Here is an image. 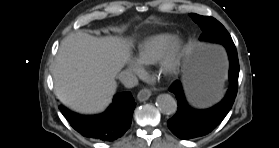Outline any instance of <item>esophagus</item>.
Here are the masks:
<instances>
[{
    "mask_svg": "<svg viewBox=\"0 0 279 148\" xmlns=\"http://www.w3.org/2000/svg\"><path fill=\"white\" fill-rule=\"evenodd\" d=\"M151 96V90L148 88H143L142 90L139 91V93L137 94V99L140 102L146 101L150 98Z\"/></svg>",
    "mask_w": 279,
    "mask_h": 148,
    "instance_id": "esophagus-1",
    "label": "esophagus"
}]
</instances>
